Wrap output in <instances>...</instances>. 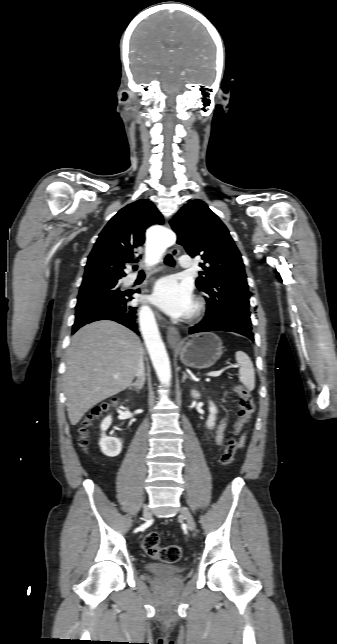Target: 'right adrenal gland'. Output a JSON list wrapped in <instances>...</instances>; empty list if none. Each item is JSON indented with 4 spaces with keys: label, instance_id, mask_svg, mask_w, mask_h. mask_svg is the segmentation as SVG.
I'll list each match as a JSON object with an SVG mask.
<instances>
[{
    "label": "right adrenal gland",
    "instance_id": "1",
    "mask_svg": "<svg viewBox=\"0 0 337 644\" xmlns=\"http://www.w3.org/2000/svg\"><path fill=\"white\" fill-rule=\"evenodd\" d=\"M145 379H138L134 383H131L130 389L135 388L138 392L143 388Z\"/></svg>",
    "mask_w": 337,
    "mask_h": 644
}]
</instances>
